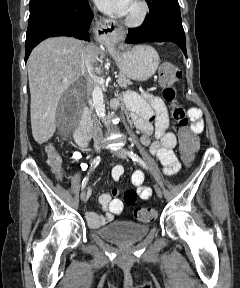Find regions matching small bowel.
Masks as SVG:
<instances>
[{"label": "small bowel", "mask_w": 240, "mask_h": 288, "mask_svg": "<svg viewBox=\"0 0 240 288\" xmlns=\"http://www.w3.org/2000/svg\"><path fill=\"white\" fill-rule=\"evenodd\" d=\"M123 103L131 114L135 127L142 133L141 143L148 146L150 152L163 166L166 175H173L180 169V163L173 151L176 146V136L168 130L169 115L164 101L147 92L141 94L128 91L123 96ZM191 121L190 129L195 134H200L204 128L202 113L197 108H190L186 112ZM154 137V140H152ZM75 156H80L76 153ZM124 173L122 165H116L112 170V178L118 181ZM132 184L137 188L139 197L143 200L150 198L151 188L144 185V175L137 170L132 174ZM118 190L113 191V196L102 194L99 198L105 214L94 212L86 213V219L93 228L100 227L113 220L115 214L123 210V203L118 197Z\"/></svg>", "instance_id": "obj_1"}]
</instances>
